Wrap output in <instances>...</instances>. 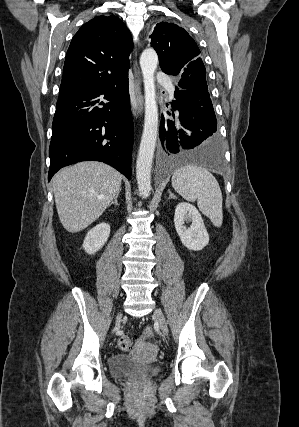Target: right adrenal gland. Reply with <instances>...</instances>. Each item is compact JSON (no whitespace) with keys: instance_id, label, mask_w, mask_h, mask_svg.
Returning a JSON list of instances; mask_svg holds the SVG:
<instances>
[{"instance_id":"2a0ac1e0","label":"right adrenal gland","mask_w":299,"mask_h":427,"mask_svg":"<svg viewBox=\"0 0 299 427\" xmlns=\"http://www.w3.org/2000/svg\"><path fill=\"white\" fill-rule=\"evenodd\" d=\"M119 193H120V191L115 195V197H114V199L111 201L110 205H111V204H115V205L119 206V204H118V197H119Z\"/></svg>"}]
</instances>
